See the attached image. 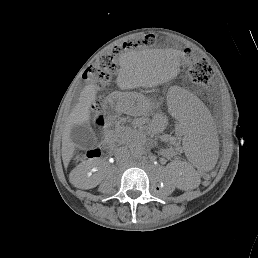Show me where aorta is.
Listing matches in <instances>:
<instances>
[{
    "label": "aorta",
    "mask_w": 258,
    "mask_h": 258,
    "mask_svg": "<svg viewBox=\"0 0 258 258\" xmlns=\"http://www.w3.org/2000/svg\"><path fill=\"white\" fill-rule=\"evenodd\" d=\"M135 155H136V156H140V155H141V152H135Z\"/></svg>",
    "instance_id": "obj_1"
}]
</instances>
